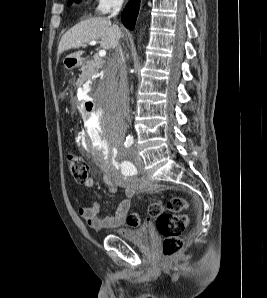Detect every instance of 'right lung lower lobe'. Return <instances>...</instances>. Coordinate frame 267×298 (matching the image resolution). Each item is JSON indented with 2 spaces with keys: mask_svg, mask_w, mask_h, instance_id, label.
I'll list each match as a JSON object with an SVG mask.
<instances>
[{
  "mask_svg": "<svg viewBox=\"0 0 267 298\" xmlns=\"http://www.w3.org/2000/svg\"><path fill=\"white\" fill-rule=\"evenodd\" d=\"M140 0H130L122 13V22L130 30L134 29Z\"/></svg>",
  "mask_w": 267,
  "mask_h": 298,
  "instance_id": "right-lung-lower-lobe-1",
  "label": "right lung lower lobe"
}]
</instances>
